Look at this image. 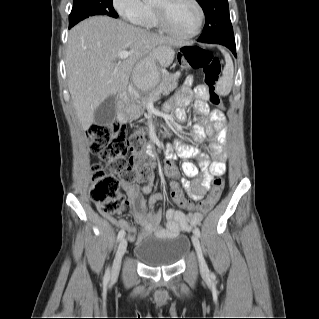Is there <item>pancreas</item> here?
<instances>
[{"label": "pancreas", "mask_w": 319, "mask_h": 319, "mask_svg": "<svg viewBox=\"0 0 319 319\" xmlns=\"http://www.w3.org/2000/svg\"><path fill=\"white\" fill-rule=\"evenodd\" d=\"M180 72L165 73L160 77L159 83L149 92L140 93L132 102L127 105V115L129 119L136 120L143 113L149 101H157L160 95H168L178 86Z\"/></svg>", "instance_id": "pancreas-1"}]
</instances>
